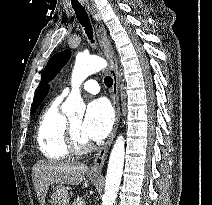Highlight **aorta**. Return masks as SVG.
I'll list each match as a JSON object with an SVG mask.
<instances>
[{"label": "aorta", "instance_id": "aorta-1", "mask_svg": "<svg viewBox=\"0 0 212 205\" xmlns=\"http://www.w3.org/2000/svg\"><path fill=\"white\" fill-rule=\"evenodd\" d=\"M106 66V60L99 56L78 55L76 57L71 76L72 91L63 105V111L66 114L83 112L84 105L79 88L88 76L104 69ZM124 158L125 140L123 135H119L115 140L109 157L102 205H113L117 198L123 173Z\"/></svg>", "mask_w": 212, "mask_h": 205}]
</instances>
